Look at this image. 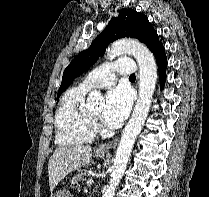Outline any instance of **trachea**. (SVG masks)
Instances as JSON below:
<instances>
[{
  "label": "trachea",
  "instance_id": "trachea-1",
  "mask_svg": "<svg viewBox=\"0 0 209 197\" xmlns=\"http://www.w3.org/2000/svg\"><path fill=\"white\" fill-rule=\"evenodd\" d=\"M130 78H136L135 74H131Z\"/></svg>",
  "mask_w": 209,
  "mask_h": 197
}]
</instances>
